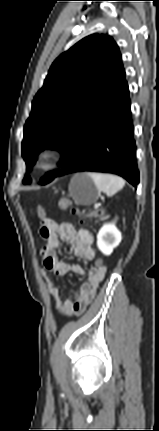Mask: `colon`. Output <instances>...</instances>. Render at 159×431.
I'll return each instance as SVG.
<instances>
[{
	"mask_svg": "<svg viewBox=\"0 0 159 431\" xmlns=\"http://www.w3.org/2000/svg\"><path fill=\"white\" fill-rule=\"evenodd\" d=\"M58 208L60 210H64V209L70 208L71 211H72V213L75 214L80 219L87 218V217H96L98 215V213L86 212V211L80 210L79 208H77L76 206H74L71 201L66 200V199L61 200L59 202ZM37 214H38L41 222H43V221H45L47 219L46 215H45V208L42 205H38V207H37ZM100 258H97L95 260V265L96 266H97L98 263H103V261L106 260L107 257H106V255L103 254V255H101Z\"/></svg>",
	"mask_w": 159,
	"mask_h": 431,
	"instance_id": "1",
	"label": "colon"
}]
</instances>
